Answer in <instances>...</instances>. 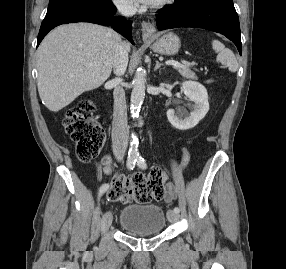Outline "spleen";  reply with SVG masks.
Listing matches in <instances>:
<instances>
[{
    "mask_svg": "<svg viewBox=\"0 0 286 269\" xmlns=\"http://www.w3.org/2000/svg\"><path fill=\"white\" fill-rule=\"evenodd\" d=\"M212 47L217 55V61L226 65L231 72H236L238 70V63L233 52L226 48L223 43L218 40L212 41Z\"/></svg>",
    "mask_w": 286,
    "mask_h": 269,
    "instance_id": "spleen-1",
    "label": "spleen"
}]
</instances>
